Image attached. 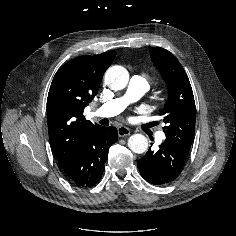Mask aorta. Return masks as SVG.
<instances>
[{"label":"aorta","instance_id":"762f6f07","mask_svg":"<svg viewBox=\"0 0 236 236\" xmlns=\"http://www.w3.org/2000/svg\"><path fill=\"white\" fill-rule=\"evenodd\" d=\"M129 81V73L122 66H112L105 73V83L112 90L124 89ZM128 147L137 154L144 153L148 148V140L142 134H133L128 139Z\"/></svg>","mask_w":236,"mask_h":236}]
</instances>
